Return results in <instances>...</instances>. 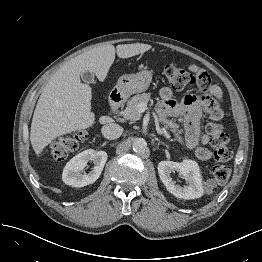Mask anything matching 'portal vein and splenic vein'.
Listing matches in <instances>:
<instances>
[{"label":"portal vein and splenic vein","mask_w":262,"mask_h":262,"mask_svg":"<svg viewBox=\"0 0 262 262\" xmlns=\"http://www.w3.org/2000/svg\"><path fill=\"white\" fill-rule=\"evenodd\" d=\"M137 108H138V111L140 113H142V112H144L147 109V105L145 103H140V104H138ZM165 128L167 129V126ZM166 138L169 139L170 135L166 134Z\"/></svg>","instance_id":"18ae733b"}]
</instances>
